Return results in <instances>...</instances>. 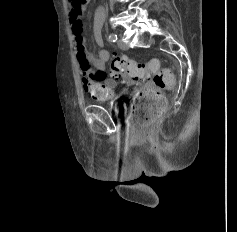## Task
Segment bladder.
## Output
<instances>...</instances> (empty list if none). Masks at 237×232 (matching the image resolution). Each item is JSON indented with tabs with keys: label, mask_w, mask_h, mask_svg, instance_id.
<instances>
[{
	"label": "bladder",
	"mask_w": 237,
	"mask_h": 232,
	"mask_svg": "<svg viewBox=\"0 0 237 232\" xmlns=\"http://www.w3.org/2000/svg\"><path fill=\"white\" fill-rule=\"evenodd\" d=\"M110 106L115 110V112L123 114L125 111V103L122 100H115L110 103Z\"/></svg>",
	"instance_id": "obj_1"
}]
</instances>
